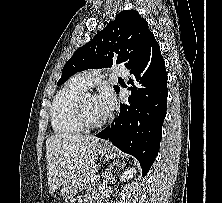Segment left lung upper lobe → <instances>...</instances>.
I'll return each mask as SVG.
<instances>
[{
  "instance_id": "1",
  "label": "left lung upper lobe",
  "mask_w": 222,
  "mask_h": 203,
  "mask_svg": "<svg viewBox=\"0 0 222 203\" xmlns=\"http://www.w3.org/2000/svg\"><path fill=\"white\" fill-rule=\"evenodd\" d=\"M150 33L148 23L136 10L121 11L104 30L75 51L63 67L58 84L86 69L111 67L115 63L130 69L142 55ZM114 89L117 93L120 90L119 86Z\"/></svg>"
}]
</instances>
